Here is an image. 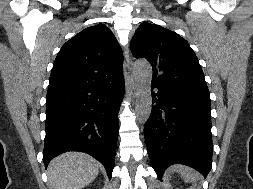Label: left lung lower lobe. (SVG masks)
Returning a JSON list of instances; mask_svg holds the SVG:
<instances>
[{
  "label": "left lung lower lobe",
  "instance_id": "obj_1",
  "mask_svg": "<svg viewBox=\"0 0 253 189\" xmlns=\"http://www.w3.org/2000/svg\"><path fill=\"white\" fill-rule=\"evenodd\" d=\"M151 88L158 91L152 92L144 135L158 178L172 164L191 166L206 177L213 150L210 103L153 84Z\"/></svg>",
  "mask_w": 253,
  "mask_h": 189
}]
</instances>
